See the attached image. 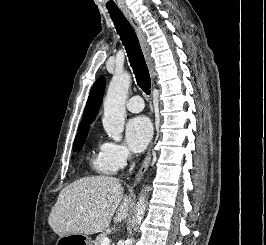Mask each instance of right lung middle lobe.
Masks as SVG:
<instances>
[{"label": "right lung middle lobe", "instance_id": "dd1d6c3e", "mask_svg": "<svg viewBox=\"0 0 266 245\" xmlns=\"http://www.w3.org/2000/svg\"><path fill=\"white\" fill-rule=\"evenodd\" d=\"M89 125L90 124L79 126L78 133L76 135V138H75L74 144H73V150L74 151L77 149H81L82 146L84 145L85 138L87 137V134L89 132Z\"/></svg>", "mask_w": 266, "mask_h": 245}]
</instances>
